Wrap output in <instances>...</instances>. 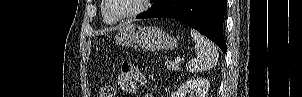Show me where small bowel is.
Instances as JSON below:
<instances>
[{"label": "small bowel", "instance_id": "obj_1", "mask_svg": "<svg viewBox=\"0 0 302 97\" xmlns=\"http://www.w3.org/2000/svg\"><path fill=\"white\" fill-rule=\"evenodd\" d=\"M118 84L125 92L137 93L140 88L148 86V81L137 67L124 62L121 66Z\"/></svg>", "mask_w": 302, "mask_h": 97}]
</instances>
